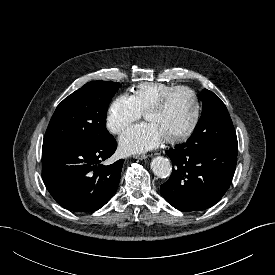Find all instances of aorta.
Listing matches in <instances>:
<instances>
[{"label":"aorta","instance_id":"obj_1","mask_svg":"<svg viewBox=\"0 0 275 275\" xmlns=\"http://www.w3.org/2000/svg\"><path fill=\"white\" fill-rule=\"evenodd\" d=\"M151 170L159 178H167L170 176L172 167L169 159L157 156L151 161Z\"/></svg>","mask_w":275,"mask_h":275}]
</instances>
